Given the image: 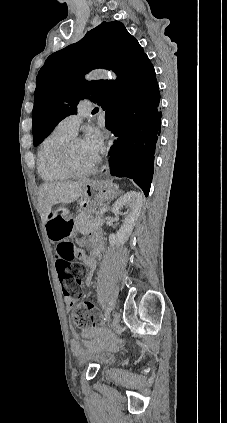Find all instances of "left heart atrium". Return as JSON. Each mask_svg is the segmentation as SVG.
I'll return each instance as SVG.
<instances>
[{"instance_id":"left-heart-atrium-1","label":"left heart atrium","mask_w":227,"mask_h":423,"mask_svg":"<svg viewBox=\"0 0 227 423\" xmlns=\"http://www.w3.org/2000/svg\"><path fill=\"white\" fill-rule=\"evenodd\" d=\"M84 145L89 152L91 161L93 164L99 159L104 146V137L99 130H92L87 139L84 141Z\"/></svg>"}]
</instances>
